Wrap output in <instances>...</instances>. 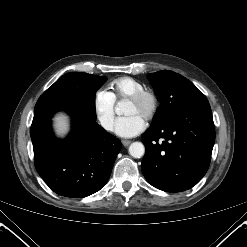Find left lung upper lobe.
I'll list each match as a JSON object with an SVG mask.
<instances>
[{
    "mask_svg": "<svg viewBox=\"0 0 247 247\" xmlns=\"http://www.w3.org/2000/svg\"><path fill=\"white\" fill-rule=\"evenodd\" d=\"M147 77L160 101L152 125L177 116L191 106L208 103L205 95L178 73L162 70Z\"/></svg>",
    "mask_w": 247,
    "mask_h": 247,
    "instance_id": "left-lung-upper-lobe-1",
    "label": "left lung upper lobe"
}]
</instances>
